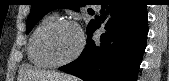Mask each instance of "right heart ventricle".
I'll return each mask as SVG.
<instances>
[{
    "label": "right heart ventricle",
    "mask_w": 169,
    "mask_h": 81,
    "mask_svg": "<svg viewBox=\"0 0 169 81\" xmlns=\"http://www.w3.org/2000/svg\"><path fill=\"white\" fill-rule=\"evenodd\" d=\"M56 20H58V15L55 13L44 16L31 33L27 47V55L30 63L37 67L46 68L50 66L41 55L39 42L44 30Z\"/></svg>",
    "instance_id": "e07e8e85"
}]
</instances>
